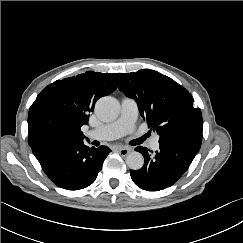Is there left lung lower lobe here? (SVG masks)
<instances>
[{"mask_svg": "<svg viewBox=\"0 0 243 243\" xmlns=\"http://www.w3.org/2000/svg\"><path fill=\"white\" fill-rule=\"evenodd\" d=\"M202 136L184 134L160 142V149L151 155L141 146L135 150L144 158L140 170H131L133 182L146 191H159L173 185L188 169L201 147Z\"/></svg>", "mask_w": 243, "mask_h": 243, "instance_id": "obj_1", "label": "left lung lower lobe"}]
</instances>
